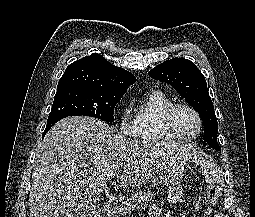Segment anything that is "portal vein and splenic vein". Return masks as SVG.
Listing matches in <instances>:
<instances>
[{
  "label": "portal vein and splenic vein",
  "mask_w": 255,
  "mask_h": 217,
  "mask_svg": "<svg viewBox=\"0 0 255 217\" xmlns=\"http://www.w3.org/2000/svg\"><path fill=\"white\" fill-rule=\"evenodd\" d=\"M114 176H117V173L112 172V173H110V174L107 176V178L110 179V178H112V177H114Z\"/></svg>",
  "instance_id": "18ae733b"
}]
</instances>
